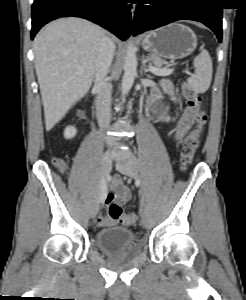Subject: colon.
<instances>
[{
    "label": "colon",
    "instance_id": "colon-1",
    "mask_svg": "<svg viewBox=\"0 0 246 300\" xmlns=\"http://www.w3.org/2000/svg\"><path fill=\"white\" fill-rule=\"evenodd\" d=\"M182 93L192 107H199L201 105V98L196 91H194L189 85L184 84L182 87ZM207 116L204 111H200L196 117V125L194 129L186 137L180 152V164L183 169L189 167L193 162L195 152L199 145L202 129L206 123ZM56 164L60 167H64L62 160L57 159ZM108 200L105 201L107 214L110 218L120 221L124 226H133L136 224L137 216L133 213H123L121 207L117 204H110Z\"/></svg>",
    "mask_w": 246,
    "mask_h": 300
}]
</instances>
